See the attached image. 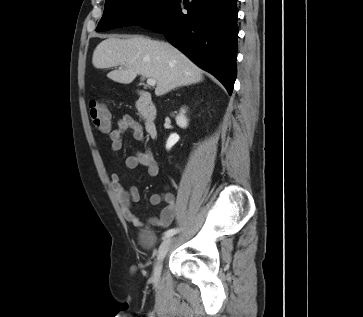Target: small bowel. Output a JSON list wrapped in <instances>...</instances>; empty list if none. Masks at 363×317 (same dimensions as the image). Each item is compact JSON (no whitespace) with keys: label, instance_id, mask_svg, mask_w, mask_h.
Returning <instances> with one entry per match:
<instances>
[{"label":"small bowel","instance_id":"obj_1","mask_svg":"<svg viewBox=\"0 0 363 317\" xmlns=\"http://www.w3.org/2000/svg\"><path fill=\"white\" fill-rule=\"evenodd\" d=\"M129 130L132 132L135 140L140 142L145 140L143 127L131 116L123 115L118 121L117 127L108 131L111 140V149L113 151L121 150L123 146V134ZM124 165L128 169H134L139 166L144 167L152 177L157 176L159 173L158 164L150 150L137 152L126 157ZM110 180L124 218L135 226L142 225L139 217L134 214L131 208L132 201H138L140 198L137 187L132 186L129 189L123 188L120 182V176L117 173H113ZM149 202L151 205H158L161 202L166 203L160 215L151 219V224L160 228L171 225L179 209V203L176 201L174 195L170 192L162 194L154 193L149 197Z\"/></svg>","mask_w":363,"mask_h":317}]
</instances>
